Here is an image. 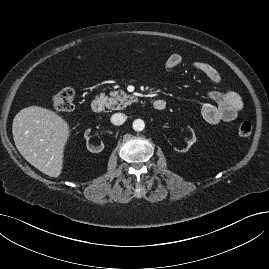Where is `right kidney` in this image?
<instances>
[{"label": "right kidney", "instance_id": "right-kidney-1", "mask_svg": "<svg viewBox=\"0 0 269 269\" xmlns=\"http://www.w3.org/2000/svg\"><path fill=\"white\" fill-rule=\"evenodd\" d=\"M92 129L85 130V145L91 152H101L104 148V141H99V145H95L93 143V139H91ZM100 146V148H99Z\"/></svg>", "mask_w": 269, "mask_h": 269}]
</instances>
